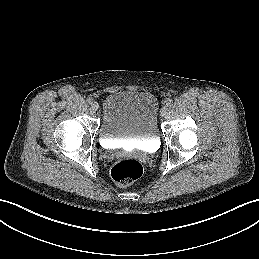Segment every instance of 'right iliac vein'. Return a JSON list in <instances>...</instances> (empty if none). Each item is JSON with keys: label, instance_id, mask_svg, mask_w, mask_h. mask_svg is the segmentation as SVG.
Returning a JSON list of instances; mask_svg holds the SVG:
<instances>
[{"label": "right iliac vein", "instance_id": "obj_1", "mask_svg": "<svg viewBox=\"0 0 259 259\" xmlns=\"http://www.w3.org/2000/svg\"><path fill=\"white\" fill-rule=\"evenodd\" d=\"M91 107L94 111H97L99 109V104L97 102H92Z\"/></svg>", "mask_w": 259, "mask_h": 259}]
</instances>
